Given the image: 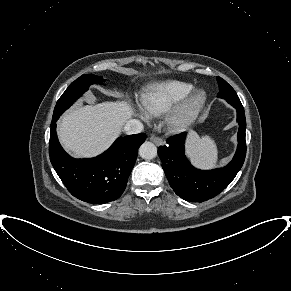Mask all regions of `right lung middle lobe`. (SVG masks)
I'll return each mask as SVG.
<instances>
[{"mask_svg": "<svg viewBox=\"0 0 291 291\" xmlns=\"http://www.w3.org/2000/svg\"><path fill=\"white\" fill-rule=\"evenodd\" d=\"M104 81L105 79H103L101 76L87 74L82 75L74 82H72L58 100L54 109L52 121H57L60 115L66 109H68L80 96H82V94L88 89L91 84H103Z\"/></svg>", "mask_w": 291, "mask_h": 291, "instance_id": "right-lung-middle-lobe-1", "label": "right lung middle lobe"}]
</instances>
